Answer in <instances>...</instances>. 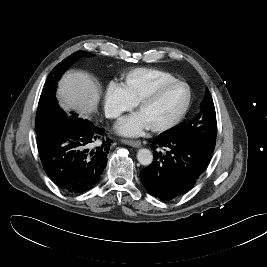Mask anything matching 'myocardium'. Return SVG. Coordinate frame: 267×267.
Masks as SVG:
<instances>
[{
  "label": "myocardium",
  "instance_id": "f54148a6",
  "mask_svg": "<svg viewBox=\"0 0 267 267\" xmlns=\"http://www.w3.org/2000/svg\"><path fill=\"white\" fill-rule=\"evenodd\" d=\"M173 85H182L186 88L187 91V98L186 102L182 108V110L171 120L166 121L164 123L150 126L149 129L153 132H164L171 128H174L178 124H180L183 119L186 117L192 103V91L188 83L180 79H173L164 83H161L153 90L142 96L138 102L136 103L137 110L139 111L145 104L150 103L154 99H156L165 89Z\"/></svg>",
  "mask_w": 267,
  "mask_h": 267
}]
</instances>
